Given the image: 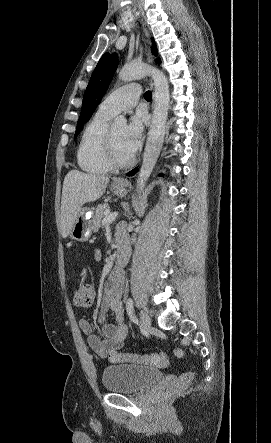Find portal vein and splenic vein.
Here are the masks:
<instances>
[{"label": "portal vein and splenic vein", "instance_id": "1", "mask_svg": "<svg viewBox=\"0 0 271 443\" xmlns=\"http://www.w3.org/2000/svg\"><path fill=\"white\" fill-rule=\"evenodd\" d=\"M118 214L115 212V214H109V216H106L104 220H102L103 225H109V223L114 222L115 218H117Z\"/></svg>", "mask_w": 271, "mask_h": 443}]
</instances>
